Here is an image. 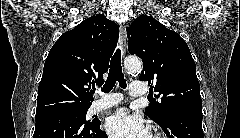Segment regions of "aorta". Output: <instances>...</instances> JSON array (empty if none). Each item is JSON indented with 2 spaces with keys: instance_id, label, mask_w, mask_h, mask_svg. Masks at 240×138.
<instances>
[{
  "instance_id": "aorta-1",
  "label": "aorta",
  "mask_w": 240,
  "mask_h": 138,
  "mask_svg": "<svg viewBox=\"0 0 240 138\" xmlns=\"http://www.w3.org/2000/svg\"><path fill=\"white\" fill-rule=\"evenodd\" d=\"M125 68L127 69L129 74L140 73L142 70V63L136 57H128L124 62Z\"/></svg>"
}]
</instances>
